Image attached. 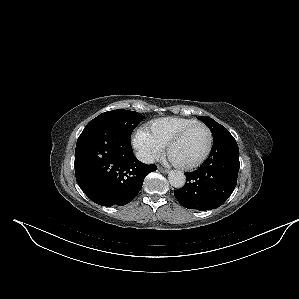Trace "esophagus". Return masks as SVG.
Instances as JSON below:
<instances>
[{"instance_id":"34e87169","label":"esophagus","mask_w":299,"mask_h":299,"mask_svg":"<svg viewBox=\"0 0 299 299\" xmlns=\"http://www.w3.org/2000/svg\"><path fill=\"white\" fill-rule=\"evenodd\" d=\"M158 170H159L160 172H162V173H168V172H169L168 169L163 168V167H158Z\"/></svg>"}]
</instances>
